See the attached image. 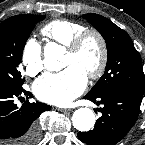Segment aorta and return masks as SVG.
Returning <instances> with one entry per match:
<instances>
[{
	"label": "aorta",
	"instance_id": "1",
	"mask_svg": "<svg viewBox=\"0 0 145 145\" xmlns=\"http://www.w3.org/2000/svg\"><path fill=\"white\" fill-rule=\"evenodd\" d=\"M65 54V48L55 42H49L44 47V66L49 71H60L61 60ZM72 123L78 131L85 132L95 125L94 112L89 108H79L73 113Z\"/></svg>",
	"mask_w": 145,
	"mask_h": 145
}]
</instances>
